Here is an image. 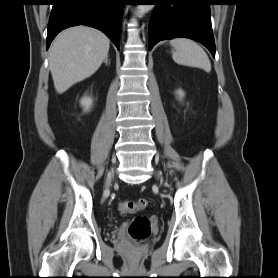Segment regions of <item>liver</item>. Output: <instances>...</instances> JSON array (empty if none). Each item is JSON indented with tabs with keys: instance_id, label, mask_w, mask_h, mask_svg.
Returning <instances> with one entry per match:
<instances>
[{
	"instance_id": "1",
	"label": "liver",
	"mask_w": 278,
	"mask_h": 278,
	"mask_svg": "<svg viewBox=\"0 0 278 278\" xmlns=\"http://www.w3.org/2000/svg\"><path fill=\"white\" fill-rule=\"evenodd\" d=\"M110 41L101 31L76 26L62 31L53 41L49 66L59 94L94 74L108 57Z\"/></svg>"
}]
</instances>
